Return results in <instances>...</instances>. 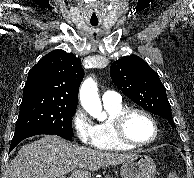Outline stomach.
<instances>
[{
    "instance_id": "0dacf381",
    "label": "stomach",
    "mask_w": 194,
    "mask_h": 178,
    "mask_svg": "<svg viewBox=\"0 0 194 178\" xmlns=\"http://www.w3.org/2000/svg\"><path fill=\"white\" fill-rule=\"evenodd\" d=\"M120 171L122 178H154L157 172L153 159L146 155H136L125 161Z\"/></svg>"
}]
</instances>
